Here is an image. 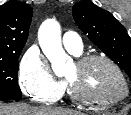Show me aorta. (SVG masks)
<instances>
[{
    "mask_svg": "<svg viewBox=\"0 0 131 115\" xmlns=\"http://www.w3.org/2000/svg\"><path fill=\"white\" fill-rule=\"evenodd\" d=\"M38 38L42 51L51 62L54 73L61 75L69 57L62 48L59 23L55 20L43 22L39 29Z\"/></svg>",
    "mask_w": 131,
    "mask_h": 115,
    "instance_id": "obj_1",
    "label": "aorta"
}]
</instances>
